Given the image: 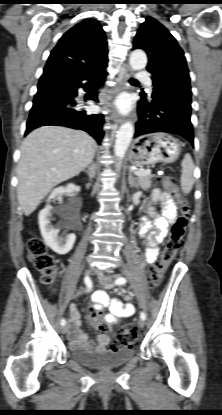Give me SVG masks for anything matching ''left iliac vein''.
Returning a JSON list of instances; mask_svg holds the SVG:
<instances>
[{"label":"left iliac vein","mask_w":222,"mask_h":415,"mask_svg":"<svg viewBox=\"0 0 222 415\" xmlns=\"http://www.w3.org/2000/svg\"><path fill=\"white\" fill-rule=\"evenodd\" d=\"M97 275L103 285H109L112 281V276H105L102 272H97ZM138 326L143 328L145 326V321L143 319H139Z\"/></svg>","instance_id":"left-iliac-vein-1"}]
</instances>
